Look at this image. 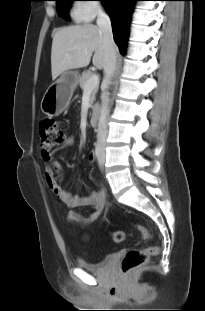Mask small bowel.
I'll use <instances>...</instances> for the list:
<instances>
[{
  "instance_id": "c3829d8e",
  "label": "small bowel",
  "mask_w": 205,
  "mask_h": 311,
  "mask_svg": "<svg viewBox=\"0 0 205 311\" xmlns=\"http://www.w3.org/2000/svg\"><path fill=\"white\" fill-rule=\"evenodd\" d=\"M74 144L75 138L73 136H68L62 144V148H71ZM88 159L90 162H94L96 160L95 152H90ZM44 177L52 192L59 197L63 204L71 209L67 215L69 222L82 225L92 223L97 220L104 210L106 205V193L104 190L95 191L86 196H79L74 195L61 186V165L58 161L50 158L45 166ZM83 206L92 207V212L86 217L81 213L74 211L75 208Z\"/></svg>"
}]
</instances>
